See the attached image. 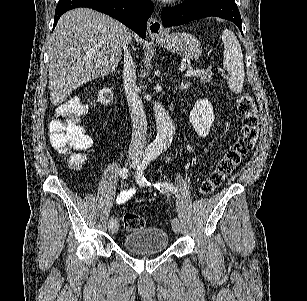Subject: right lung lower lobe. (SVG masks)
<instances>
[{"instance_id": "right-lung-lower-lobe-1", "label": "right lung lower lobe", "mask_w": 307, "mask_h": 301, "mask_svg": "<svg viewBox=\"0 0 307 301\" xmlns=\"http://www.w3.org/2000/svg\"><path fill=\"white\" fill-rule=\"evenodd\" d=\"M78 7L105 13L125 24L143 39L146 36L147 20L154 10V5L149 0H59L55 9L54 27L62 14Z\"/></svg>"}]
</instances>
